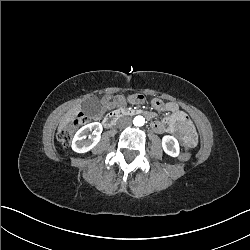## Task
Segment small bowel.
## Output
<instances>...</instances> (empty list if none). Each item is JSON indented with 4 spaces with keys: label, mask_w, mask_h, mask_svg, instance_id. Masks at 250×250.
<instances>
[{
    "label": "small bowel",
    "mask_w": 250,
    "mask_h": 250,
    "mask_svg": "<svg viewBox=\"0 0 250 250\" xmlns=\"http://www.w3.org/2000/svg\"><path fill=\"white\" fill-rule=\"evenodd\" d=\"M133 96L119 95L116 97H112L111 95H105L101 100L102 110H111L116 106H125L129 103H137L133 100ZM153 105L158 109L167 110L172 113L173 118L177 121V123L173 125V129L177 135L184 138L185 143L191 136L195 137V131L189 119L183 112L179 110L178 106L175 103H164L159 99H154ZM164 128L165 126L160 121H154L152 123V129L156 132L161 133Z\"/></svg>",
    "instance_id": "1"
}]
</instances>
